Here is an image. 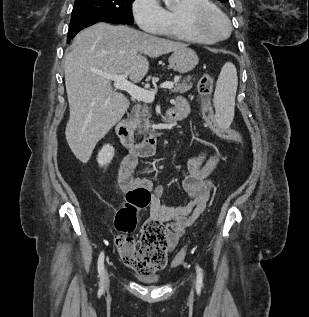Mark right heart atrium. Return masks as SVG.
<instances>
[{"mask_svg": "<svg viewBox=\"0 0 309 317\" xmlns=\"http://www.w3.org/2000/svg\"><path fill=\"white\" fill-rule=\"evenodd\" d=\"M132 13L138 26L145 32L158 34L166 26L165 9L158 0H133Z\"/></svg>", "mask_w": 309, "mask_h": 317, "instance_id": "obj_1", "label": "right heart atrium"}]
</instances>
